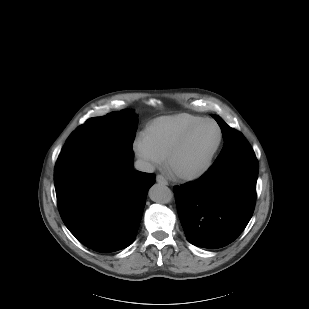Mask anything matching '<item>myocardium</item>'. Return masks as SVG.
Wrapping results in <instances>:
<instances>
[{
	"mask_svg": "<svg viewBox=\"0 0 309 309\" xmlns=\"http://www.w3.org/2000/svg\"><path fill=\"white\" fill-rule=\"evenodd\" d=\"M205 123H213L217 129H218V140L217 143L212 150L208 160L206 163L199 169L191 172H184V171H177L173 168V161L178 154V152L181 150L183 145L186 143V141L190 138V136L203 124ZM224 139V133L221 125L212 118H203L202 120L198 121L197 123L193 124L191 127H189L181 136L180 138L175 142V144L172 146L171 150L169 151L167 157L165 158L166 166L168 170L177 178L184 181H191L200 178L204 174H206L209 169L212 167L214 160L220 150V147L222 145Z\"/></svg>",
	"mask_w": 309,
	"mask_h": 309,
	"instance_id": "myocardium-1",
	"label": "myocardium"
}]
</instances>
